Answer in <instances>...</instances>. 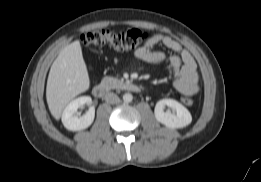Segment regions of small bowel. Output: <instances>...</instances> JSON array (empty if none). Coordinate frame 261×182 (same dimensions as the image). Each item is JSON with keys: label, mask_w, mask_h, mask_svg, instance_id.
<instances>
[{"label": "small bowel", "mask_w": 261, "mask_h": 182, "mask_svg": "<svg viewBox=\"0 0 261 182\" xmlns=\"http://www.w3.org/2000/svg\"><path fill=\"white\" fill-rule=\"evenodd\" d=\"M158 45H163L174 52L169 59L174 88L183 95H195L199 91L196 63L191 54L172 37L155 34L134 52V56L147 63H162L165 55L155 49Z\"/></svg>", "instance_id": "small-bowel-1"}]
</instances>
